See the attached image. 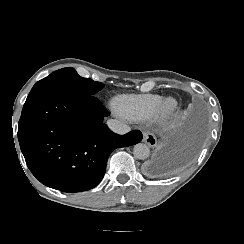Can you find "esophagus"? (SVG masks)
Instances as JSON below:
<instances>
[{
    "label": "esophagus",
    "instance_id": "obj_1",
    "mask_svg": "<svg viewBox=\"0 0 244 244\" xmlns=\"http://www.w3.org/2000/svg\"><path fill=\"white\" fill-rule=\"evenodd\" d=\"M142 141L150 147H154L157 144L156 136L150 131L143 132Z\"/></svg>",
    "mask_w": 244,
    "mask_h": 244
}]
</instances>
